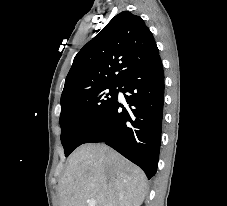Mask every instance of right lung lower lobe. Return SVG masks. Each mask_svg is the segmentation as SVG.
<instances>
[{"instance_id": "1", "label": "right lung lower lobe", "mask_w": 227, "mask_h": 206, "mask_svg": "<svg viewBox=\"0 0 227 206\" xmlns=\"http://www.w3.org/2000/svg\"><path fill=\"white\" fill-rule=\"evenodd\" d=\"M120 91L126 93L129 108L117 99L84 143L105 142L151 178L157 171L161 142L164 73L160 57L128 73Z\"/></svg>"}]
</instances>
